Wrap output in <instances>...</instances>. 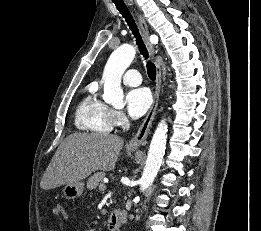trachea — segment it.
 I'll return each instance as SVG.
<instances>
[{"label":"trachea","mask_w":261,"mask_h":231,"mask_svg":"<svg viewBox=\"0 0 261 231\" xmlns=\"http://www.w3.org/2000/svg\"><path fill=\"white\" fill-rule=\"evenodd\" d=\"M112 1L115 3L116 8L119 10V12L122 14V16L125 18L130 30L132 31L133 35L135 36L136 44L138 45L140 53L143 55V57L146 60H148V58H149L148 51L140 36L137 25H136L132 15L130 14L129 10L127 9L126 5L124 4V2L122 0H112ZM146 67H147L148 77L152 81H154L156 79V66L151 61L148 60Z\"/></svg>","instance_id":"obj_1"}]
</instances>
